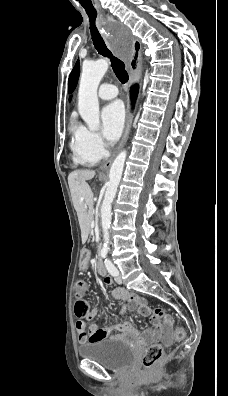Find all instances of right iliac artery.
Wrapping results in <instances>:
<instances>
[{
  "label": "right iliac artery",
  "mask_w": 228,
  "mask_h": 396,
  "mask_svg": "<svg viewBox=\"0 0 228 396\" xmlns=\"http://www.w3.org/2000/svg\"><path fill=\"white\" fill-rule=\"evenodd\" d=\"M106 255H107V251L103 250V251L101 252V256H102L103 258H105Z\"/></svg>",
  "instance_id": "right-iliac-artery-1"
}]
</instances>
